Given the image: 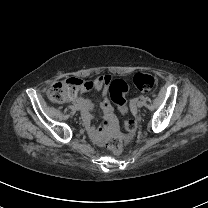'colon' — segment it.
<instances>
[{
  "mask_svg": "<svg viewBox=\"0 0 208 208\" xmlns=\"http://www.w3.org/2000/svg\"><path fill=\"white\" fill-rule=\"evenodd\" d=\"M70 81H72V83L68 81L63 83L64 87L68 91V97H74L75 93H78L80 87L89 89L91 86V83L83 80L70 78ZM100 81L109 86L110 96L117 108V111L123 118L126 119L128 115L126 96L129 92V86L127 82L123 79L111 80L109 76L100 77ZM134 84L139 91L150 92L156 86V79L149 74L137 73L134 76ZM122 128L126 132L134 131L136 129V122L131 119H126L122 123ZM106 146L112 150L121 149V138L118 136L110 137L106 143Z\"/></svg>",
  "mask_w": 208,
  "mask_h": 208,
  "instance_id": "5ec220e1",
  "label": "colon"
}]
</instances>
